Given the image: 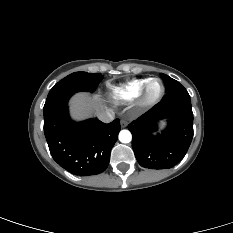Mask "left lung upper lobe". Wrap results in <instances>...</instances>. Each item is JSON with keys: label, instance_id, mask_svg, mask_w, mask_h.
Returning a JSON list of instances; mask_svg holds the SVG:
<instances>
[{"label": "left lung upper lobe", "instance_id": "obj_1", "mask_svg": "<svg viewBox=\"0 0 233 233\" xmlns=\"http://www.w3.org/2000/svg\"><path fill=\"white\" fill-rule=\"evenodd\" d=\"M160 75H161L163 82L165 83L166 91H170L174 89L175 87L181 85L178 81L169 77L166 74L161 73Z\"/></svg>", "mask_w": 233, "mask_h": 233}]
</instances>
